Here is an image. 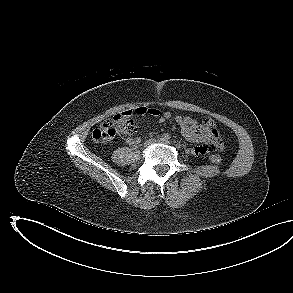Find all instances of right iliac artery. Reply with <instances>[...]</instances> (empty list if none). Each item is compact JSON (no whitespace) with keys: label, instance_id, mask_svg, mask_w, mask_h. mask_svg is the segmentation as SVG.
<instances>
[{"label":"right iliac artery","instance_id":"82829eb1","mask_svg":"<svg viewBox=\"0 0 293 293\" xmlns=\"http://www.w3.org/2000/svg\"><path fill=\"white\" fill-rule=\"evenodd\" d=\"M161 139L162 140H165V141H168L170 139V135L168 133H164L162 136H161Z\"/></svg>","mask_w":293,"mask_h":293}]
</instances>
